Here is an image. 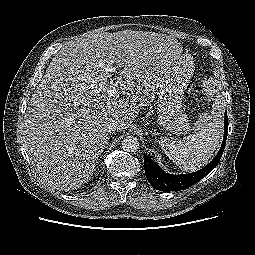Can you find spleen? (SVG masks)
<instances>
[{
    "label": "spleen",
    "mask_w": 255,
    "mask_h": 255,
    "mask_svg": "<svg viewBox=\"0 0 255 255\" xmlns=\"http://www.w3.org/2000/svg\"><path fill=\"white\" fill-rule=\"evenodd\" d=\"M196 129L198 132L177 143L165 137L159 138L162 150L183 171H195L213 156L222 137V111L201 115Z\"/></svg>",
    "instance_id": "3e777b00"
}]
</instances>
